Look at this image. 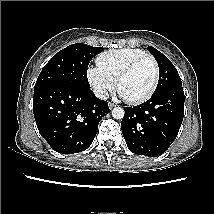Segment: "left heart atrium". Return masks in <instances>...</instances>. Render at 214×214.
<instances>
[{"mask_svg":"<svg viewBox=\"0 0 214 214\" xmlns=\"http://www.w3.org/2000/svg\"><path fill=\"white\" fill-rule=\"evenodd\" d=\"M120 95L121 97L126 98L121 91H120Z\"/></svg>","mask_w":214,"mask_h":214,"instance_id":"obj_1","label":"left heart atrium"}]
</instances>
